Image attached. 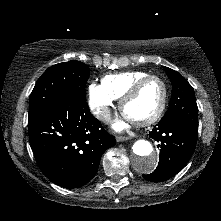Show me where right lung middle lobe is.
<instances>
[{
	"instance_id": "obj_1",
	"label": "right lung middle lobe",
	"mask_w": 221,
	"mask_h": 221,
	"mask_svg": "<svg viewBox=\"0 0 221 221\" xmlns=\"http://www.w3.org/2000/svg\"><path fill=\"white\" fill-rule=\"evenodd\" d=\"M89 75L88 66L80 61L72 60L49 67L38 79L30 95L28 124L56 108L68 97L76 96L85 100Z\"/></svg>"
}]
</instances>
